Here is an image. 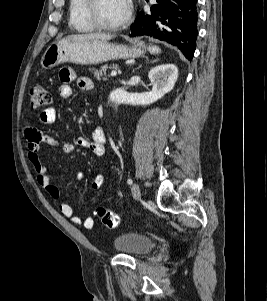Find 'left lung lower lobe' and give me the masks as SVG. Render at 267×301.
I'll return each instance as SVG.
<instances>
[{
	"instance_id": "left-lung-lower-lobe-1",
	"label": "left lung lower lobe",
	"mask_w": 267,
	"mask_h": 301,
	"mask_svg": "<svg viewBox=\"0 0 267 301\" xmlns=\"http://www.w3.org/2000/svg\"><path fill=\"white\" fill-rule=\"evenodd\" d=\"M151 14L139 12L130 37L150 36L178 47L188 60L196 48L197 0H157Z\"/></svg>"
}]
</instances>
